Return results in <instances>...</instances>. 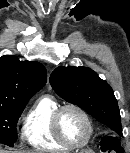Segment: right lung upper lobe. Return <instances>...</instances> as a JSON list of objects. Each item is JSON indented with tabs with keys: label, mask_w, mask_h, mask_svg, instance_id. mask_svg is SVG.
Instances as JSON below:
<instances>
[{
	"label": "right lung upper lobe",
	"mask_w": 130,
	"mask_h": 153,
	"mask_svg": "<svg viewBox=\"0 0 130 153\" xmlns=\"http://www.w3.org/2000/svg\"><path fill=\"white\" fill-rule=\"evenodd\" d=\"M46 69L15 56L0 57V104L22 105L46 83Z\"/></svg>",
	"instance_id": "1"
}]
</instances>
